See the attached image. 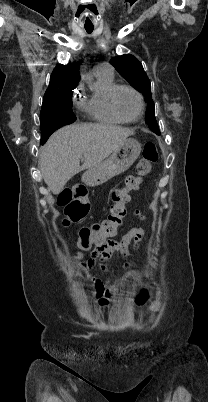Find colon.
<instances>
[{
    "label": "colon",
    "mask_w": 208,
    "mask_h": 402,
    "mask_svg": "<svg viewBox=\"0 0 208 402\" xmlns=\"http://www.w3.org/2000/svg\"><path fill=\"white\" fill-rule=\"evenodd\" d=\"M158 158V148L155 143L147 142L143 147L142 159L137 164L136 173L129 175L125 179V184L111 191L110 213L107 218L98 221L90 226L84 227L75 232V241L82 250H89L94 244H103L108 235H116L118 229L123 225L127 217L126 204L130 200V194L137 191L141 180L150 172L152 164ZM73 196H86V186L79 183L74 186L71 193ZM90 205L68 204L64 210V217L61 220L63 228H68L74 222H83L84 215L90 214ZM70 232L65 233V237H70ZM78 254L76 260L83 259L84 255ZM72 257V256H70ZM102 303H107V299H101Z\"/></svg>",
    "instance_id": "colon-1"
}]
</instances>
